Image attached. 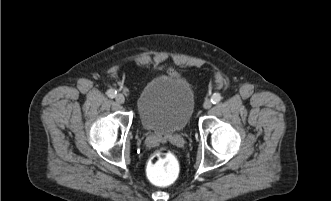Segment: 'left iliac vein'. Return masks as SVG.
Instances as JSON below:
<instances>
[{
	"instance_id": "1",
	"label": "left iliac vein",
	"mask_w": 331,
	"mask_h": 201,
	"mask_svg": "<svg viewBox=\"0 0 331 201\" xmlns=\"http://www.w3.org/2000/svg\"><path fill=\"white\" fill-rule=\"evenodd\" d=\"M211 106H212V102H211V100L206 99V100L204 101V103H203V107H204L205 109H209V108H211Z\"/></svg>"
}]
</instances>
